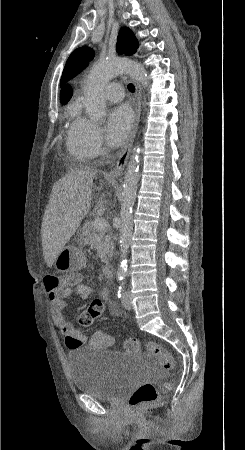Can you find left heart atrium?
Returning <instances> with one entry per match:
<instances>
[{
	"instance_id": "left-heart-atrium-1",
	"label": "left heart atrium",
	"mask_w": 245,
	"mask_h": 450,
	"mask_svg": "<svg viewBox=\"0 0 245 450\" xmlns=\"http://www.w3.org/2000/svg\"><path fill=\"white\" fill-rule=\"evenodd\" d=\"M133 111L126 105L114 107L107 117V139L111 146L117 147L128 138L133 125Z\"/></svg>"
}]
</instances>
